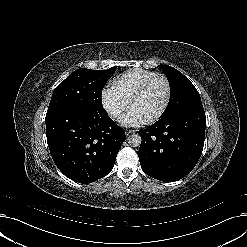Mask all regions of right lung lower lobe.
I'll return each instance as SVG.
<instances>
[{"label": "right lung lower lobe", "instance_id": "1", "mask_svg": "<svg viewBox=\"0 0 247 247\" xmlns=\"http://www.w3.org/2000/svg\"><path fill=\"white\" fill-rule=\"evenodd\" d=\"M47 143L56 166L79 182L108 174L115 163L125 130L103 107H64L46 115ZM91 144L89 150L84 145Z\"/></svg>", "mask_w": 247, "mask_h": 247}]
</instances>
